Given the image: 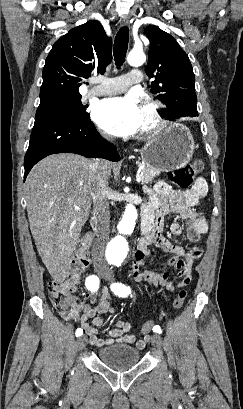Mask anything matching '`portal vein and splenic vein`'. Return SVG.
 <instances>
[{"label":"portal vein and splenic vein","mask_w":243,"mask_h":409,"mask_svg":"<svg viewBox=\"0 0 243 409\" xmlns=\"http://www.w3.org/2000/svg\"><path fill=\"white\" fill-rule=\"evenodd\" d=\"M136 181H137L138 183L141 182V174H140V172H138V173L136 174Z\"/></svg>","instance_id":"18ae733b"}]
</instances>
